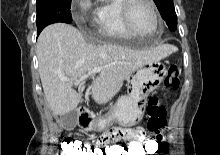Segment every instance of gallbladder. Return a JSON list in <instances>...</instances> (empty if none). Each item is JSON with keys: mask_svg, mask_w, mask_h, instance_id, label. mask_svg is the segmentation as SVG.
<instances>
[{"mask_svg": "<svg viewBox=\"0 0 220 155\" xmlns=\"http://www.w3.org/2000/svg\"><path fill=\"white\" fill-rule=\"evenodd\" d=\"M77 110H73L63 116V124L67 129H74L77 124Z\"/></svg>", "mask_w": 220, "mask_h": 155, "instance_id": "1", "label": "gallbladder"}]
</instances>
